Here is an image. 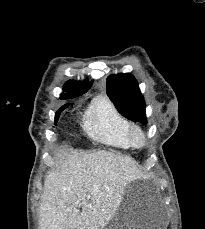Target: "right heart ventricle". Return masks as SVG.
<instances>
[{
  "label": "right heart ventricle",
  "mask_w": 205,
  "mask_h": 229,
  "mask_svg": "<svg viewBox=\"0 0 205 229\" xmlns=\"http://www.w3.org/2000/svg\"><path fill=\"white\" fill-rule=\"evenodd\" d=\"M84 126L97 141L118 149L131 147L128 133L132 125L106 96H98L92 101L85 114Z\"/></svg>",
  "instance_id": "obj_1"
}]
</instances>
